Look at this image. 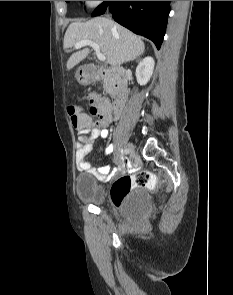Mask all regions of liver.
Wrapping results in <instances>:
<instances>
[{
	"instance_id": "liver-1",
	"label": "liver",
	"mask_w": 233,
	"mask_h": 295,
	"mask_svg": "<svg viewBox=\"0 0 233 295\" xmlns=\"http://www.w3.org/2000/svg\"><path fill=\"white\" fill-rule=\"evenodd\" d=\"M82 40H92L97 43L112 67L134 60L145 50V45L139 36L105 17L71 23L66 30L63 46L65 49L72 48ZM88 54V48L72 54L67 61V69H72Z\"/></svg>"
}]
</instances>
